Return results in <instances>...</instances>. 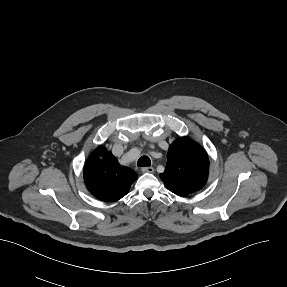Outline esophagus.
I'll use <instances>...</instances> for the list:
<instances>
[{
  "mask_svg": "<svg viewBox=\"0 0 287 287\" xmlns=\"http://www.w3.org/2000/svg\"><path fill=\"white\" fill-rule=\"evenodd\" d=\"M141 171H142L143 173H152V172H154V168H153V167H143V168L141 169Z\"/></svg>",
  "mask_w": 287,
  "mask_h": 287,
  "instance_id": "1",
  "label": "esophagus"
}]
</instances>
